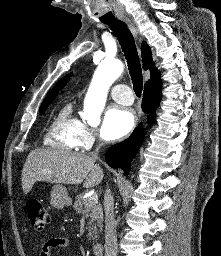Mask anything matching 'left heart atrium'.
I'll return each mask as SVG.
<instances>
[{
    "instance_id": "1",
    "label": "left heart atrium",
    "mask_w": 221,
    "mask_h": 256,
    "mask_svg": "<svg viewBox=\"0 0 221 256\" xmlns=\"http://www.w3.org/2000/svg\"><path fill=\"white\" fill-rule=\"evenodd\" d=\"M133 126V113L127 108L112 105L105 112L101 135L106 140H116L129 133Z\"/></svg>"
}]
</instances>
